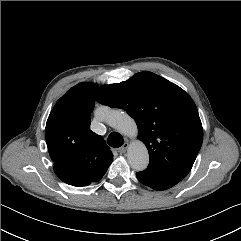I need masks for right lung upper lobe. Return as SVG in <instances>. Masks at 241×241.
Here are the masks:
<instances>
[{"label": "right lung upper lobe", "instance_id": "obj_1", "mask_svg": "<svg viewBox=\"0 0 241 241\" xmlns=\"http://www.w3.org/2000/svg\"><path fill=\"white\" fill-rule=\"evenodd\" d=\"M98 85L80 83L62 96L51 111L45 138L54 169L90 180H99L113 161L102 136L90 130Z\"/></svg>", "mask_w": 241, "mask_h": 241}]
</instances>
